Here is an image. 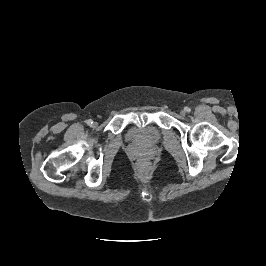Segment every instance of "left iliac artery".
Returning <instances> with one entry per match:
<instances>
[{
	"mask_svg": "<svg viewBox=\"0 0 266 266\" xmlns=\"http://www.w3.org/2000/svg\"><path fill=\"white\" fill-rule=\"evenodd\" d=\"M186 112H190L191 111V109L189 108V107H185V109H184Z\"/></svg>",
	"mask_w": 266,
	"mask_h": 266,
	"instance_id": "left-iliac-artery-1",
	"label": "left iliac artery"
}]
</instances>
